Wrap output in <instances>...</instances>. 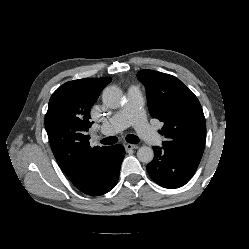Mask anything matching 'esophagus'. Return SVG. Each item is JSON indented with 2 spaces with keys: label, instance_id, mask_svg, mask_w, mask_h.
<instances>
[{
  "label": "esophagus",
  "instance_id": "obj_1",
  "mask_svg": "<svg viewBox=\"0 0 249 249\" xmlns=\"http://www.w3.org/2000/svg\"><path fill=\"white\" fill-rule=\"evenodd\" d=\"M139 146L136 144H125L126 151L132 150V149H138Z\"/></svg>",
  "mask_w": 249,
  "mask_h": 249
}]
</instances>
